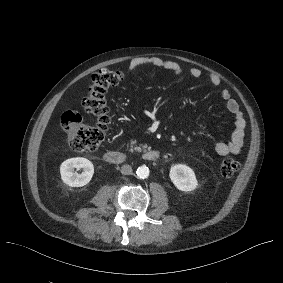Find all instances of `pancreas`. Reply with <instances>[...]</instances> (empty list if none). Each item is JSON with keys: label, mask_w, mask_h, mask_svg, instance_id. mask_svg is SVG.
Segmentation results:
<instances>
[{"label": "pancreas", "mask_w": 283, "mask_h": 283, "mask_svg": "<svg viewBox=\"0 0 283 283\" xmlns=\"http://www.w3.org/2000/svg\"><path fill=\"white\" fill-rule=\"evenodd\" d=\"M137 139L131 140L128 147H130V152H141L142 150L146 152L148 150V144H140L136 146Z\"/></svg>", "instance_id": "obj_1"}]
</instances>
